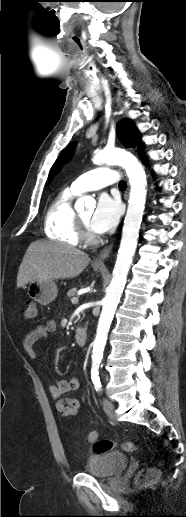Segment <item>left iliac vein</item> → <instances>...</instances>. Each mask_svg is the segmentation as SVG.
Listing matches in <instances>:
<instances>
[{
	"label": "left iliac vein",
	"mask_w": 186,
	"mask_h": 517,
	"mask_svg": "<svg viewBox=\"0 0 186 517\" xmlns=\"http://www.w3.org/2000/svg\"><path fill=\"white\" fill-rule=\"evenodd\" d=\"M103 409L111 419L114 420L116 418L115 406L109 399L103 400Z\"/></svg>",
	"instance_id": "4c4485c4"
}]
</instances>
